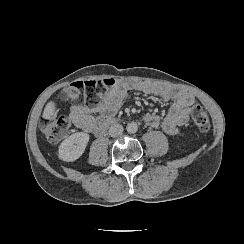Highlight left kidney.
Masks as SVG:
<instances>
[{"label":"left kidney","instance_id":"5707ae66","mask_svg":"<svg viewBox=\"0 0 244 244\" xmlns=\"http://www.w3.org/2000/svg\"><path fill=\"white\" fill-rule=\"evenodd\" d=\"M177 136H178L179 138H181V139H185V138H186L184 132H178V133H177Z\"/></svg>","mask_w":244,"mask_h":244}]
</instances>
